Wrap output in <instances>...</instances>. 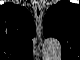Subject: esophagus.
<instances>
[{
	"instance_id": "obj_1",
	"label": "esophagus",
	"mask_w": 80,
	"mask_h": 60,
	"mask_svg": "<svg viewBox=\"0 0 80 60\" xmlns=\"http://www.w3.org/2000/svg\"><path fill=\"white\" fill-rule=\"evenodd\" d=\"M32 6H33L34 13H35V22H36L37 34L40 37L42 16H43L42 6L40 5L39 1H33Z\"/></svg>"
}]
</instances>
